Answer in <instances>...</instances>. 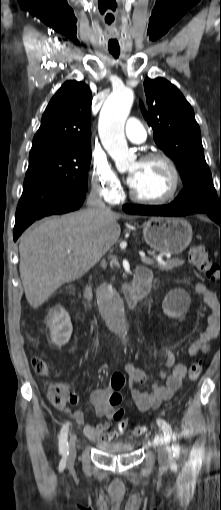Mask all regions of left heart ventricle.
I'll return each instance as SVG.
<instances>
[{"label":"left heart ventricle","instance_id":"obj_1","mask_svg":"<svg viewBox=\"0 0 221 510\" xmlns=\"http://www.w3.org/2000/svg\"><path fill=\"white\" fill-rule=\"evenodd\" d=\"M129 172L134 177L131 187L141 197L160 198L171 188V172L161 160L136 161L129 167Z\"/></svg>","mask_w":221,"mask_h":510}]
</instances>
